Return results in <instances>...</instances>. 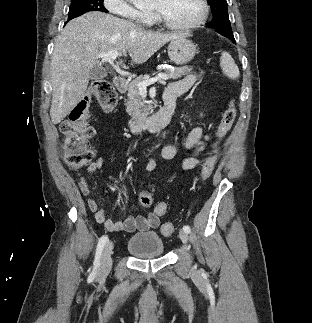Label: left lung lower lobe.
<instances>
[{"label":"left lung lower lobe","mask_w":312,"mask_h":323,"mask_svg":"<svg viewBox=\"0 0 312 323\" xmlns=\"http://www.w3.org/2000/svg\"><path fill=\"white\" fill-rule=\"evenodd\" d=\"M227 38H229V39H231L233 42H235L234 37H227Z\"/></svg>","instance_id":"left-lung-lower-lobe-1"}]
</instances>
